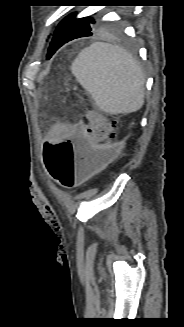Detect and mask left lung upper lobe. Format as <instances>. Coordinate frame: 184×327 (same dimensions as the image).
<instances>
[{
  "instance_id": "left-lung-upper-lobe-1",
  "label": "left lung upper lobe",
  "mask_w": 184,
  "mask_h": 327,
  "mask_svg": "<svg viewBox=\"0 0 184 327\" xmlns=\"http://www.w3.org/2000/svg\"><path fill=\"white\" fill-rule=\"evenodd\" d=\"M64 22L70 27L78 31L81 36H87L93 33V30L96 28L97 24L92 17H84L80 19L75 18V13L68 15Z\"/></svg>"
}]
</instances>
